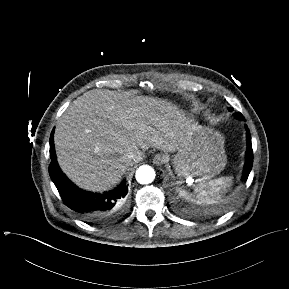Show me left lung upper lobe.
Here are the masks:
<instances>
[{
	"label": "left lung upper lobe",
	"instance_id": "5c2ea615",
	"mask_svg": "<svg viewBox=\"0 0 289 289\" xmlns=\"http://www.w3.org/2000/svg\"><path fill=\"white\" fill-rule=\"evenodd\" d=\"M230 109H232V108H230ZM238 117H240L241 119H244V117H243V115L241 114V113H237L236 114Z\"/></svg>",
	"mask_w": 289,
	"mask_h": 289
}]
</instances>
